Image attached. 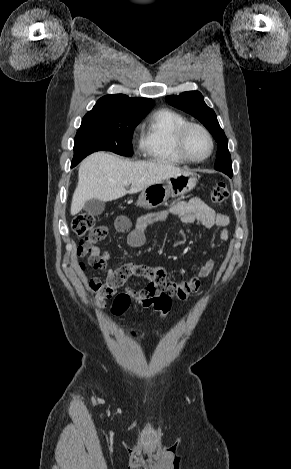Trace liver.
<instances>
[{"instance_id":"6515ba94","label":"liver","mask_w":291,"mask_h":469,"mask_svg":"<svg viewBox=\"0 0 291 469\" xmlns=\"http://www.w3.org/2000/svg\"><path fill=\"white\" fill-rule=\"evenodd\" d=\"M181 172L180 168L161 162H131L106 152H96L80 164L71 215L79 213L85 202L92 198L103 202L116 200ZM129 185L131 188L127 191Z\"/></svg>"}]
</instances>
